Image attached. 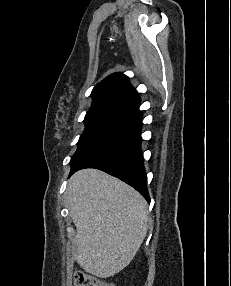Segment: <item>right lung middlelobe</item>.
I'll use <instances>...</instances> for the list:
<instances>
[{
  "instance_id": "dd1d6c3e",
  "label": "right lung middle lobe",
  "mask_w": 231,
  "mask_h": 286,
  "mask_svg": "<svg viewBox=\"0 0 231 286\" xmlns=\"http://www.w3.org/2000/svg\"><path fill=\"white\" fill-rule=\"evenodd\" d=\"M136 116L137 111L121 106L99 105L91 107L84 119L85 131L78 141V149L70 164L79 160L98 142Z\"/></svg>"
}]
</instances>
